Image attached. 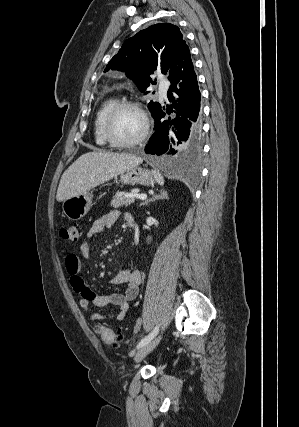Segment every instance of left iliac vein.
I'll return each mask as SVG.
<instances>
[{"label":"left iliac vein","mask_w":299,"mask_h":427,"mask_svg":"<svg viewBox=\"0 0 299 427\" xmlns=\"http://www.w3.org/2000/svg\"><path fill=\"white\" fill-rule=\"evenodd\" d=\"M160 340H161V335L154 338L144 346H142L135 355V358H134L135 362L136 363L140 362L148 353H150L159 344Z\"/></svg>","instance_id":"obj_1"}]
</instances>
